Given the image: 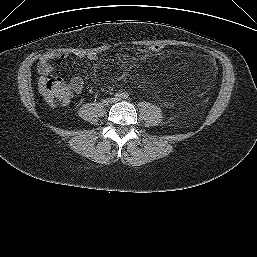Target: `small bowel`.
<instances>
[{
	"label": "small bowel",
	"instance_id": "c3829d8e",
	"mask_svg": "<svg viewBox=\"0 0 257 257\" xmlns=\"http://www.w3.org/2000/svg\"><path fill=\"white\" fill-rule=\"evenodd\" d=\"M65 55H58L55 53H47L41 56L39 59L37 70L42 78L49 76L53 72V67L51 61L55 59H64ZM88 58L91 60L96 59L95 54H89ZM69 86L75 93H81L83 89V80L79 75H73L69 79Z\"/></svg>",
	"mask_w": 257,
	"mask_h": 257
}]
</instances>
